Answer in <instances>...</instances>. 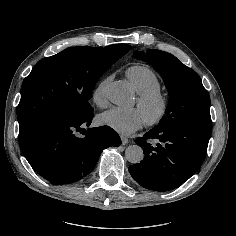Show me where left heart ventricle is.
Segmentation results:
<instances>
[{"label":"left heart ventricle","instance_id":"obj_1","mask_svg":"<svg viewBox=\"0 0 236 236\" xmlns=\"http://www.w3.org/2000/svg\"><path fill=\"white\" fill-rule=\"evenodd\" d=\"M141 110V109H140ZM141 112H142V114L144 115V117H145V119L147 118V114L143 111V110H141Z\"/></svg>","mask_w":236,"mask_h":236}]
</instances>
